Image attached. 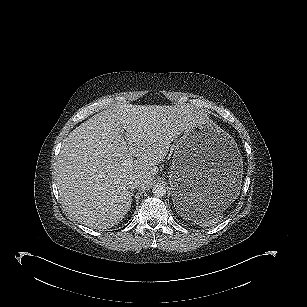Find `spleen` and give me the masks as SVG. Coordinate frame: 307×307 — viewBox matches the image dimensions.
I'll return each mask as SVG.
<instances>
[{"label":"spleen","instance_id":"3e777b00","mask_svg":"<svg viewBox=\"0 0 307 307\" xmlns=\"http://www.w3.org/2000/svg\"><path fill=\"white\" fill-rule=\"evenodd\" d=\"M222 218H223L222 211L212 214L209 212L201 211V213H198L197 215L194 216L192 221H194L196 224H198L201 227H210L218 223Z\"/></svg>","mask_w":307,"mask_h":307}]
</instances>
